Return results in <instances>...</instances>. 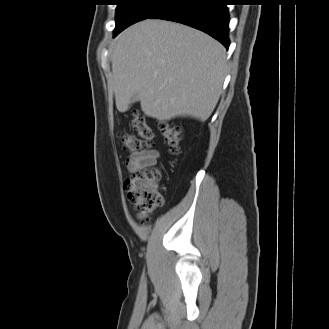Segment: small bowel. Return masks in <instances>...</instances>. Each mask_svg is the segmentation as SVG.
I'll return each instance as SVG.
<instances>
[{"mask_svg": "<svg viewBox=\"0 0 329 329\" xmlns=\"http://www.w3.org/2000/svg\"><path fill=\"white\" fill-rule=\"evenodd\" d=\"M159 158V152L155 149H148L141 152H136L128 156L126 159V168L128 172H134L139 169H144L154 166ZM136 210V217L143 223L150 219L151 212L141 211L137 205L134 204Z\"/></svg>", "mask_w": 329, "mask_h": 329, "instance_id": "obj_1", "label": "small bowel"}]
</instances>
